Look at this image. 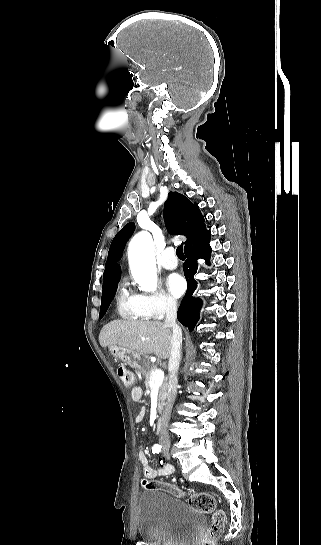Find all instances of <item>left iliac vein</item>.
Here are the masks:
<instances>
[{"label":"left iliac vein","mask_w":321,"mask_h":545,"mask_svg":"<svg viewBox=\"0 0 321 545\" xmlns=\"http://www.w3.org/2000/svg\"><path fill=\"white\" fill-rule=\"evenodd\" d=\"M167 458H170L169 454H167Z\"/></svg>","instance_id":"obj_1"}]
</instances>
